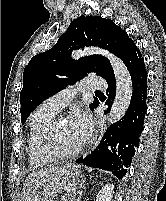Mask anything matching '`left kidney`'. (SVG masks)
I'll use <instances>...</instances> for the list:
<instances>
[{
    "label": "left kidney",
    "instance_id": "obj_1",
    "mask_svg": "<svg viewBox=\"0 0 166 201\" xmlns=\"http://www.w3.org/2000/svg\"><path fill=\"white\" fill-rule=\"evenodd\" d=\"M114 193V185L105 184L97 194L96 201H112Z\"/></svg>",
    "mask_w": 166,
    "mask_h": 201
}]
</instances>
